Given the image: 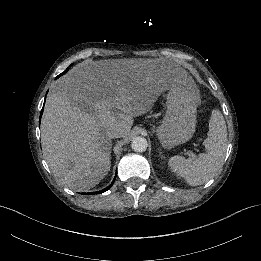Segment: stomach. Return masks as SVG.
<instances>
[{
	"mask_svg": "<svg viewBox=\"0 0 261 261\" xmlns=\"http://www.w3.org/2000/svg\"><path fill=\"white\" fill-rule=\"evenodd\" d=\"M200 104L196 86L169 89L165 117L153 129L164 150H172L193 137Z\"/></svg>",
	"mask_w": 261,
	"mask_h": 261,
	"instance_id": "obj_1",
	"label": "stomach"
}]
</instances>
